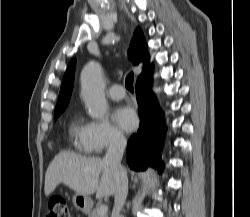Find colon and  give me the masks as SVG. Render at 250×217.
Instances as JSON below:
<instances>
[{
  "mask_svg": "<svg viewBox=\"0 0 250 217\" xmlns=\"http://www.w3.org/2000/svg\"><path fill=\"white\" fill-rule=\"evenodd\" d=\"M45 217H71L66 201L60 197L52 198Z\"/></svg>",
  "mask_w": 250,
  "mask_h": 217,
  "instance_id": "obj_1",
  "label": "colon"
}]
</instances>
